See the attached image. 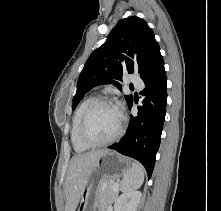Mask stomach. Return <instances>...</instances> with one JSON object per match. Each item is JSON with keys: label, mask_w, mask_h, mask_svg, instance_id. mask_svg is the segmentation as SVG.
<instances>
[{"label": "stomach", "mask_w": 221, "mask_h": 211, "mask_svg": "<svg viewBox=\"0 0 221 211\" xmlns=\"http://www.w3.org/2000/svg\"><path fill=\"white\" fill-rule=\"evenodd\" d=\"M130 168V161L126 157L116 152L102 154L85 179L78 211H99L97 193L100 186L124 176Z\"/></svg>", "instance_id": "stomach-1"}]
</instances>
